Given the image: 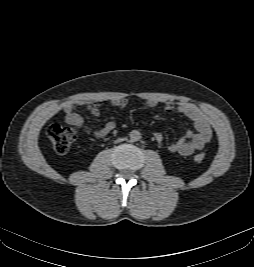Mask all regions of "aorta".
<instances>
[{
	"label": "aorta",
	"instance_id": "aorta-1",
	"mask_svg": "<svg viewBox=\"0 0 254 267\" xmlns=\"http://www.w3.org/2000/svg\"><path fill=\"white\" fill-rule=\"evenodd\" d=\"M132 142L139 141L141 139V133L138 130H132L129 134Z\"/></svg>",
	"mask_w": 254,
	"mask_h": 267
}]
</instances>
